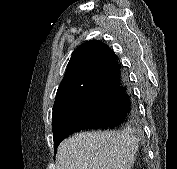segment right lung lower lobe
I'll use <instances>...</instances> for the list:
<instances>
[{"instance_id": "obj_1", "label": "right lung lower lobe", "mask_w": 177, "mask_h": 169, "mask_svg": "<svg viewBox=\"0 0 177 169\" xmlns=\"http://www.w3.org/2000/svg\"><path fill=\"white\" fill-rule=\"evenodd\" d=\"M89 101L76 115L61 120L53 132L54 148L70 134L86 129H113L137 116V108L127 75L117 63L110 61L87 82Z\"/></svg>"}]
</instances>
